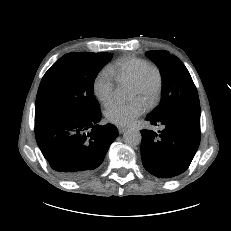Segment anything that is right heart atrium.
Here are the masks:
<instances>
[{
    "label": "right heart atrium",
    "instance_id": "d8ad5b80",
    "mask_svg": "<svg viewBox=\"0 0 231 231\" xmlns=\"http://www.w3.org/2000/svg\"><path fill=\"white\" fill-rule=\"evenodd\" d=\"M95 96L104 104H108L114 96L113 76L108 69L100 71L93 81Z\"/></svg>",
    "mask_w": 231,
    "mask_h": 231
}]
</instances>
